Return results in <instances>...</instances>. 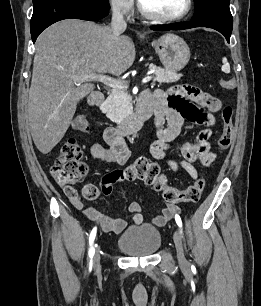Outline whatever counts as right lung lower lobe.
Instances as JSON below:
<instances>
[{"label":"right lung lower lobe","instance_id":"obj_1","mask_svg":"<svg viewBox=\"0 0 261 306\" xmlns=\"http://www.w3.org/2000/svg\"><path fill=\"white\" fill-rule=\"evenodd\" d=\"M31 37L38 35L51 24L63 19L96 21L108 15L109 9L86 0H33Z\"/></svg>","mask_w":261,"mask_h":306}]
</instances>
